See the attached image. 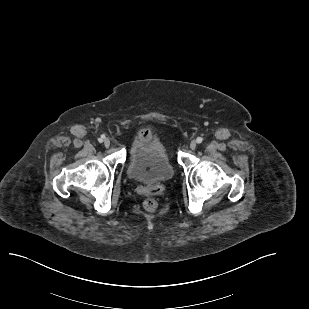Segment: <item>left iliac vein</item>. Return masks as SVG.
<instances>
[{
	"label": "left iliac vein",
	"mask_w": 309,
	"mask_h": 309,
	"mask_svg": "<svg viewBox=\"0 0 309 309\" xmlns=\"http://www.w3.org/2000/svg\"><path fill=\"white\" fill-rule=\"evenodd\" d=\"M196 146H197V142H196L195 140H193V141L190 142V148H191L192 150H194V149L196 148Z\"/></svg>",
	"instance_id": "left-iliac-vein-1"
}]
</instances>
